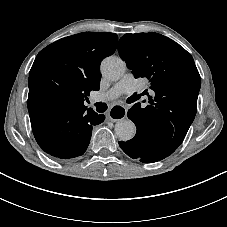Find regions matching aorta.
Segmentation results:
<instances>
[{
	"label": "aorta",
	"instance_id": "1",
	"mask_svg": "<svg viewBox=\"0 0 227 227\" xmlns=\"http://www.w3.org/2000/svg\"><path fill=\"white\" fill-rule=\"evenodd\" d=\"M101 73L111 80H118L126 70L125 62L116 56L106 57L101 62ZM136 133V126L131 120L122 119L115 125V134L121 141L131 140Z\"/></svg>",
	"mask_w": 227,
	"mask_h": 227
}]
</instances>
